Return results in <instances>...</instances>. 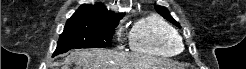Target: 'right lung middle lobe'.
Instances as JSON below:
<instances>
[{
  "mask_svg": "<svg viewBox=\"0 0 246 69\" xmlns=\"http://www.w3.org/2000/svg\"><path fill=\"white\" fill-rule=\"evenodd\" d=\"M119 21H67L53 56L73 48H105L110 46Z\"/></svg>",
  "mask_w": 246,
  "mask_h": 69,
  "instance_id": "1",
  "label": "right lung middle lobe"
}]
</instances>
